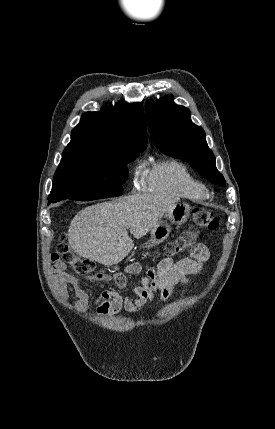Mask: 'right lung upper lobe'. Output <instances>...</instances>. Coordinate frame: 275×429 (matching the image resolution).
Wrapping results in <instances>:
<instances>
[{"label": "right lung upper lobe", "mask_w": 275, "mask_h": 429, "mask_svg": "<svg viewBox=\"0 0 275 429\" xmlns=\"http://www.w3.org/2000/svg\"><path fill=\"white\" fill-rule=\"evenodd\" d=\"M147 131L141 103L115 104L100 112H87L71 132L63 158L112 157L142 152Z\"/></svg>", "instance_id": "cb5924a9"}]
</instances>
